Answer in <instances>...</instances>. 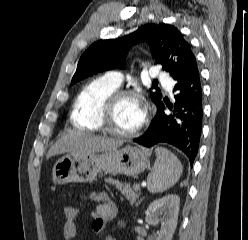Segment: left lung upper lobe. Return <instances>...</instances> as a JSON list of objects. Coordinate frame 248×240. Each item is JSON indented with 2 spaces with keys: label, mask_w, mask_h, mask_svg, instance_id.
I'll return each mask as SVG.
<instances>
[{
  "label": "left lung upper lobe",
  "mask_w": 248,
  "mask_h": 240,
  "mask_svg": "<svg viewBox=\"0 0 248 240\" xmlns=\"http://www.w3.org/2000/svg\"><path fill=\"white\" fill-rule=\"evenodd\" d=\"M145 40L151 46L157 63L178 80L196 63L190 44L181 32L169 24H147L122 38L94 42L81 56L72 84L94 73L122 67L130 46ZM157 108L161 105L159 89L150 92Z\"/></svg>",
  "instance_id": "5c2ea615"
}]
</instances>
